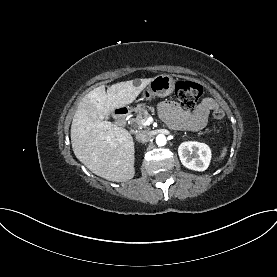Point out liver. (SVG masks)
Masks as SVG:
<instances>
[{"mask_svg": "<svg viewBox=\"0 0 277 277\" xmlns=\"http://www.w3.org/2000/svg\"><path fill=\"white\" fill-rule=\"evenodd\" d=\"M153 78L140 85L125 81L99 86L83 97L73 117L71 143L75 156L92 173L114 182L134 177V142L130 133L108 121L110 113L132 103Z\"/></svg>", "mask_w": 277, "mask_h": 277, "instance_id": "liver-1", "label": "liver"}]
</instances>
